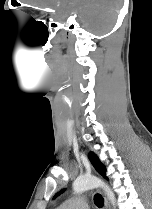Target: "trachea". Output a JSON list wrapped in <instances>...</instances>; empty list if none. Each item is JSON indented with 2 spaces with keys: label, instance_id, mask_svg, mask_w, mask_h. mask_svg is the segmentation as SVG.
<instances>
[{
  "label": "trachea",
  "instance_id": "trachea-1",
  "mask_svg": "<svg viewBox=\"0 0 152 209\" xmlns=\"http://www.w3.org/2000/svg\"><path fill=\"white\" fill-rule=\"evenodd\" d=\"M94 202H95L96 206L101 207L104 204V199L100 194H96L94 196Z\"/></svg>",
  "mask_w": 152,
  "mask_h": 209
}]
</instances>
